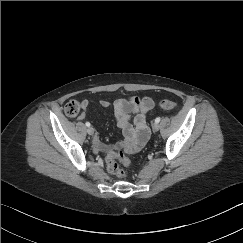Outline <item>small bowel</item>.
<instances>
[{
  "label": "small bowel",
  "instance_id": "c3829d8e",
  "mask_svg": "<svg viewBox=\"0 0 243 243\" xmlns=\"http://www.w3.org/2000/svg\"><path fill=\"white\" fill-rule=\"evenodd\" d=\"M91 100L82 101L84 108L91 104ZM99 104L104 108H112L118 127L122 130L123 138L115 144H105L98 136L93 139L96 152L110 154L115 151L125 150L136 152L146 143L149 132L146 125L147 114L154 108V101L150 97L130 96L117 98L112 101L101 99ZM85 118V112L79 115ZM131 119L133 123H131Z\"/></svg>",
  "mask_w": 243,
  "mask_h": 243
}]
</instances>
